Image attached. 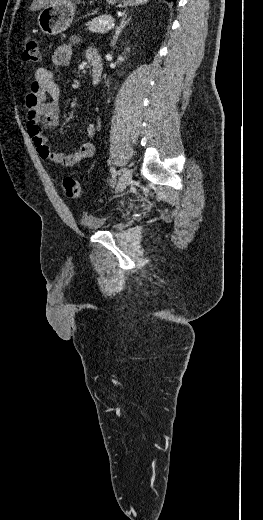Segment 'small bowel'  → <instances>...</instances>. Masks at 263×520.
Instances as JSON below:
<instances>
[{
	"mask_svg": "<svg viewBox=\"0 0 263 520\" xmlns=\"http://www.w3.org/2000/svg\"><path fill=\"white\" fill-rule=\"evenodd\" d=\"M93 50H88L87 54ZM73 54L72 44L58 46L52 62L57 67L69 64ZM60 88L54 80L53 73L47 68H38L34 81L25 97L26 129L40 158L53 162L64 168H71L90 159L95 153L94 145L85 141L80 149L72 153H57L50 149L43 130H54L60 122L59 106ZM50 99V100H48ZM88 137L96 133V126L89 123L86 127Z\"/></svg>",
	"mask_w": 263,
	"mask_h": 520,
	"instance_id": "obj_1",
	"label": "small bowel"
}]
</instances>
